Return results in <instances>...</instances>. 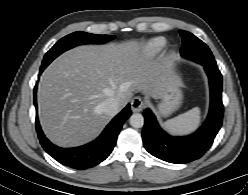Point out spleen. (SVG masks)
Instances as JSON below:
<instances>
[{
    "label": "spleen",
    "instance_id": "1",
    "mask_svg": "<svg viewBox=\"0 0 248 195\" xmlns=\"http://www.w3.org/2000/svg\"><path fill=\"white\" fill-rule=\"evenodd\" d=\"M200 109L195 107L164 123V128L172 134H187L194 131L200 124Z\"/></svg>",
    "mask_w": 248,
    "mask_h": 195
}]
</instances>
